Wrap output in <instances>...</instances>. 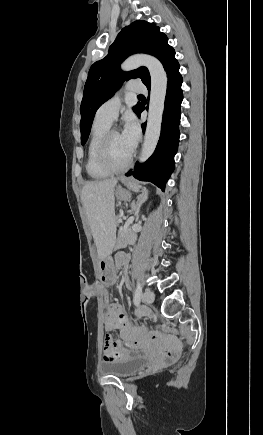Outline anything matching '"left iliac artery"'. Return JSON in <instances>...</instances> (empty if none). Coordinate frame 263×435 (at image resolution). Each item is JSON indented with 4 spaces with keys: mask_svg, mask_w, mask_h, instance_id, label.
<instances>
[{
    "mask_svg": "<svg viewBox=\"0 0 263 435\" xmlns=\"http://www.w3.org/2000/svg\"><path fill=\"white\" fill-rule=\"evenodd\" d=\"M141 294H142V287L141 284L138 282L134 293V299H133L134 304L136 306L140 304Z\"/></svg>",
    "mask_w": 263,
    "mask_h": 435,
    "instance_id": "44dca946",
    "label": "left iliac artery"
}]
</instances>
